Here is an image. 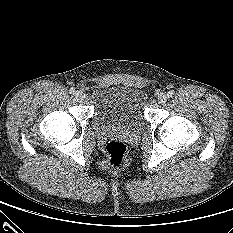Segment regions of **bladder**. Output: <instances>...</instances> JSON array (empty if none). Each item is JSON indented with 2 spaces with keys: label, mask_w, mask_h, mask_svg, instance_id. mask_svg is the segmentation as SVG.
Listing matches in <instances>:
<instances>
[{
  "label": "bladder",
  "mask_w": 233,
  "mask_h": 233,
  "mask_svg": "<svg viewBox=\"0 0 233 233\" xmlns=\"http://www.w3.org/2000/svg\"><path fill=\"white\" fill-rule=\"evenodd\" d=\"M147 95L141 88L112 84L92 92L93 122L99 128L139 129L145 122Z\"/></svg>",
  "instance_id": "obj_1"
}]
</instances>
